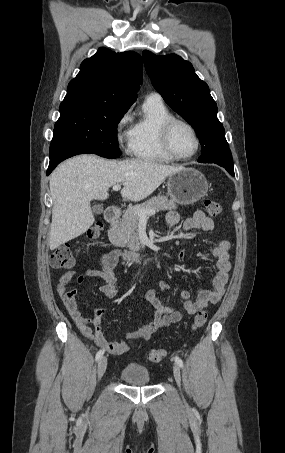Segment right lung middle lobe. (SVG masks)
Masks as SVG:
<instances>
[{
    "label": "right lung middle lobe",
    "instance_id": "obj_1",
    "mask_svg": "<svg viewBox=\"0 0 285 453\" xmlns=\"http://www.w3.org/2000/svg\"><path fill=\"white\" fill-rule=\"evenodd\" d=\"M127 110L97 102H62L54 135L79 144L88 153L117 158L121 155L117 124Z\"/></svg>",
    "mask_w": 285,
    "mask_h": 453
}]
</instances>
